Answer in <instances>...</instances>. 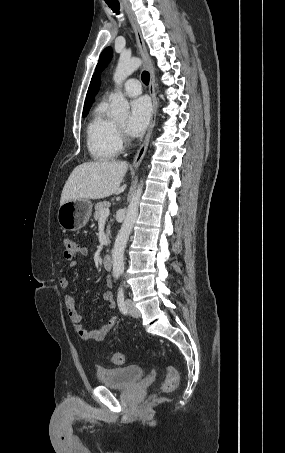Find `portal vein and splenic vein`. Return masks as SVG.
<instances>
[{
  "label": "portal vein and splenic vein",
  "instance_id": "18ae733b",
  "mask_svg": "<svg viewBox=\"0 0 285 453\" xmlns=\"http://www.w3.org/2000/svg\"><path fill=\"white\" fill-rule=\"evenodd\" d=\"M109 213H110L109 209L103 210L102 213H101V217H100V218H106V217H108V216H109Z\"/></svg>",
  "mask_w": 285,
  "mask_h": 453
}]
</instances>
